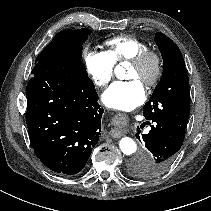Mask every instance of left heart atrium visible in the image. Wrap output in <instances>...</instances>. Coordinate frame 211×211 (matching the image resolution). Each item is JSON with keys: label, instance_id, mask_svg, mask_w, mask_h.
I'll list each match as a JSON object with an SVG mask.
<instances>
[{"label": "left heart atrium", "instance_id": "left-heart-atrium-1", "mask_svg": "<svg viewBox=\"0 0 211 211\" xmlns=\"http://www.w3.org/2000/svg\"><path fill=\"white\" fill-rule=\"evenodd\" d=\"M146 97L139 79L114 82L102 95L103 103L114 110L130 111L139 106Z\"/></svg>", "mask_w": 211, "mask_h": 211}]
</instances>
